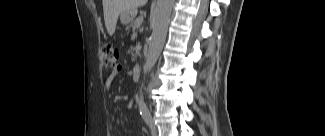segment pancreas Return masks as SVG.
Returning a JSON list of instances; mask_svg holds the SVG:
<instances>
[{"label":"pancreas","instance_id":"pancreas-1","mask_svg":"<svg viewBox=\"0 0 325 136\" xmlns=\"http://www.w3.org/2000/svg\"><path fill=\"white\" fill-rule=\"evenodd\" d=\"M134 24H135V22H134V19H131L130 20V23L128 24L130 27H134ZM133 37L134 38H137L138 37V34L136 33V32H134V34H133Z\"/></svg>","mask_w":325,"mask_h":136}]
</instances>
